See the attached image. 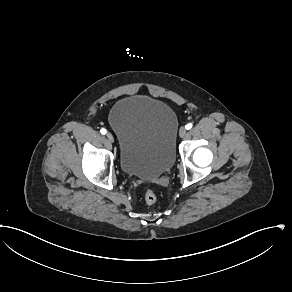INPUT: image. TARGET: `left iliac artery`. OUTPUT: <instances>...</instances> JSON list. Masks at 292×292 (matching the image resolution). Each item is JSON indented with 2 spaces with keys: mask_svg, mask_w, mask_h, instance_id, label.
<instances>
[{
  "mask_svg": "<svg viewBox=\"0 0 292 292\" xmlns=\"http://www.w3.org/2000/svg\"><path fill=\"white\" fill-rule=\"evenodd\" d=\"M192 126H193V124H192V123H188V124L186 125V129H187V130H189V129H191V128H192Z\"/></svg>",
  "mask_w": 292,
  "mask_h": 292,
  "instance_id": "left-iliac-artery-1",
  "label": "left iliac artery"
}]
</instances>
